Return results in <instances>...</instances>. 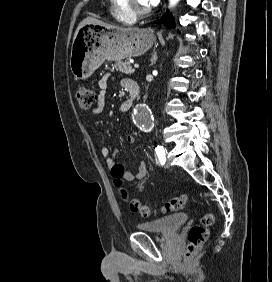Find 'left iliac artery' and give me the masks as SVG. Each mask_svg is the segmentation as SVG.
<instances>
[{
    "instance_id": "44dca946",
    "label": "left iliac artery",
    "mask_w": 272,
    "mask_h": 282,
    "mask_svg": "<svg viewBox=\"0 0 272 282\" xmlns=\"http://www.w3.org/2000/svg\"><path fill=\"white\" fill-rule=\"evenodd\" d=\"M155 150L160 163L163 165L166 161V156H165L166 150L164 149L163 146L160 145H158Z\"/></svg>"
}]
</instances>
